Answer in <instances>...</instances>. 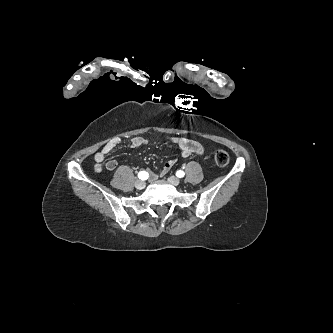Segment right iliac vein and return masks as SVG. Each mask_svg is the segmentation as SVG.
I'll list each match as a JSON object with an SVG mask.
<instances>
[{"instance_id":"obj_1","label":"right iliac vein","mask_w":333,"mask_h":333,"mask_svg":"<svg viewBox=\"0 0 333 333\" xmlns=\"http://www.w3.org/2000/svg\"><path fill=\"white\" fill-rule=\"evenodd\" d=\"M135 187L137 189H143L145 187V182L142 180H136L135 181Z\"/></svg>"}]
</instances>
